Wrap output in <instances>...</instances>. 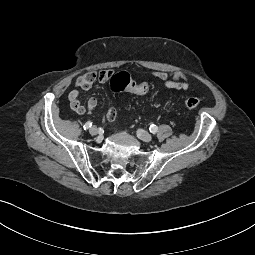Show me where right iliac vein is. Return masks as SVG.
Returning <instances> with one entry per match:
<instances>
[{
  "label": "right iliac vein",
  "mask_w": 255,
  "mask_h": 255,
  "mask_svg": "<svg viewBox=\"0 0 255 255\" xmlns=\"http://www.w3.org/2000/svg\"><path fill=\"white\" fill-rule=\"evenodd\" d=\"M89 133H90L91 135H97V134H98V129H97V127L92 126V127L89 129Z\"/></svg>",
  "instance_id": "obj_1"
}]
</instances>
